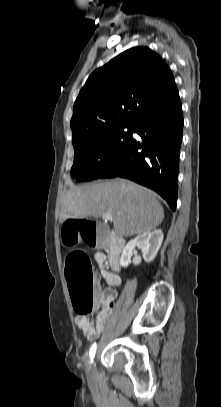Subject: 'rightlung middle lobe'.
<instances>
[{"label": "right lung middle lobe", "mask_w": 221, "mask_h": 407, "mask_svg": "<svg viewBox=\"0 0 221 407\" xmlns=\"http://www.w3.org/2000/svg\"><path fill=\"white\" fill-rule=\"evenodd\" d=\"M133 131L134 124L116 126L74 143L72 177L78 182L100 178L126 151Z\"/></svg>", "instance_id": "right-lung-middle-lobe-1"}]
</instances>
